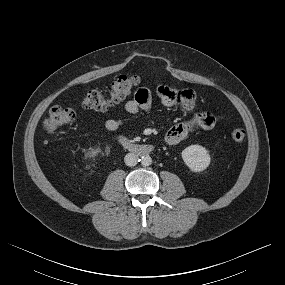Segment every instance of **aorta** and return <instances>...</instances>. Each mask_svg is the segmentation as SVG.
Masks as SVG:
<instances>
[{
  "mask_svg": "<svg viewBox=\"0 0 285 285\" xmlns=\"http://www.w3.org/2000/svg\"><path fill=\"white\" fill-rule=\"evenodd\" d=\"M140 162L143 166H149L152 163V158L149 155H144L141 157Z\"/></svg>",
  "mask_w": 285,
  "mask_h": 285,
  "instance_id": "762f6f07",
  "label": "aorta"
}]
</instances>
